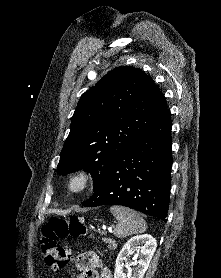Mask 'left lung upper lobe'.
<instances>
[{"mask_svg": "<svg viewBox=\"0 0 221 278\" xmlns=\"http://www.w3.org/2000/svg\"><path fill=\"white\" fill-rule=\"evenodd\" d=\"M167 111L164 95L142 70L113 69L81 96L57 172L83 168L95 187L119 153Z\"/></svg>", "mask_w": 221, "mask_h": 278, "instance_id": "left-lung-upper-lobe-1", "label": "left lung upper lobe"}]
</instances>
